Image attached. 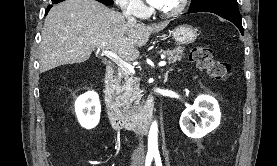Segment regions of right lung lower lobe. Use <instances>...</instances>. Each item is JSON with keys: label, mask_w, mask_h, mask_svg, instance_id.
I'll return each instance as SVG.
<instances>
[{"label": "right lung lower lobe", "mask_w": 277, "mask_h": 166, "mask_svg": "<svg viewBox=\"0 0 277 166\" xmlns=\"http://www.w3.org/2000/svg\"><path fill=\"white\" fill-rule=\"evenodd\" d=\"M51 1H52V4H57V3L62 2L64 0H51ZM96 1L101 2L105 5H111V4L114 3L113 0H96ZM52 6L53 5H48L46 13L51 9Z\"/></svg>", "instance_id": "98d812e1"}]
</instances>
